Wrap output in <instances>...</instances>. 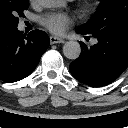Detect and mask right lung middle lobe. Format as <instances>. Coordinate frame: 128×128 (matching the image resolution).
I'll use <instances>...</instances> for the list:
<instances>
[{
	"label": "right lung middle lobe",
	"instance_id": "1",
	"mask_svg": "<svg viewBox=\"0 0 128 128\" xmlns=\"http://www.w3.org/2000/svg\"><path fill=\"white\" fill-rule=\"evenodd\" d=\"M29 7L28 0H0V31L16 29L23 11Z\"/></svg>",
	"mask_w": 128,
	"mask_h": 128
}]
</instances>
